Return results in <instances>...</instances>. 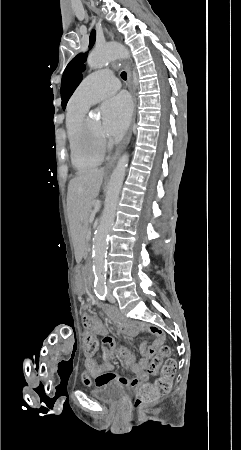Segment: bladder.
Returning a JSON list of instances; mask_svg holds the SVG:
<instances>
[{
	"label": "bladder",
	"mask_w": 241,
	"mask_h": 450,
	"mask_svg": "<svg viewBox=\"0 0 241 450\" xmlns=\"http://www.w3.org/2000/svg\"><path fill=\"white\" fill-rule=\"evenodd\" d=\"M92 394L98 400L115 403L121 401L125 397L126 391L120 384L107 383L95 389Z\"/></svg>",
	"instance_id": "obj_1"
}]
</instances>
